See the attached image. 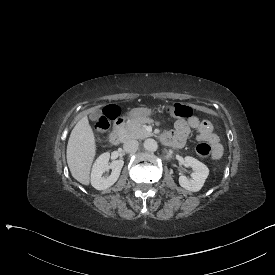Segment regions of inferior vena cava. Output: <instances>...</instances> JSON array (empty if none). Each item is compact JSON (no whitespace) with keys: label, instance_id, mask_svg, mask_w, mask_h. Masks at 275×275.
I'll list each match as a JSON object with an SVG mask.
<instances>
[{"label":"inferior vena cava","instance_id":"1","mask_svg":"<svg viewBox=\"0 0 275 275\" xmlns=\"http://www.w3.org/2000/svg\"><path fill=\"white\" fill-rule=\"evenodd\" d=\"M139 143L137 140H128L123 144V149L128 153H134L137 151Z\"/></svg>","mask_w":275,"mask_h":275}]
</instances>
